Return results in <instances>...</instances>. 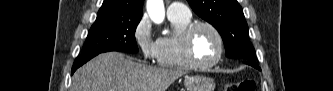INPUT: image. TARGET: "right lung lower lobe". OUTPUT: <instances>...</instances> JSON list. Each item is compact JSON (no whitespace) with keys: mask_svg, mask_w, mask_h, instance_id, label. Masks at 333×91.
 Returning <instances> with one entry per match:
<instances>
[{"mask_svg":"<svg viewBox=\"0 0 333 91\" xmlns=\"http://www.w3.org/2000/svg\"><path fill=\"white\" fill-rule=\"evenodd\" d=\"M98 54H92V55H79L72 67V72L71 74H73L75 72V70L77 68H79L80 66H82L84 63H86L87 61H89L91 58L95 57Z\"/></svg>","mask_w":333,"mask_h":91,"instance_id":"98d812e1","label":"right lung lower lobe"}]
</instances>
